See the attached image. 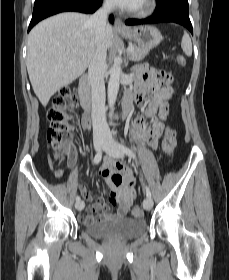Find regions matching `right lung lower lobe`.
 Here are the masks:
<instances>
[{
  "mask_svg": "<svg viewBox=\"0 0 229 280\" xmlns=\"http://www.w3.org/2000/svg\"><path fill=\"white\" fill-rule=\"evenodd\" d=\"M101 3L102 0H35L28 31L39 21L54 14L65 11L93 13ZM113 20V16H110V21L113 22Z\"/></svg>",
  "mask_w": 229,
  "mask_h": 280,
  "instance_id": "98d812e1",
  "label": "right lung lower lobe"
}]
</instances>
